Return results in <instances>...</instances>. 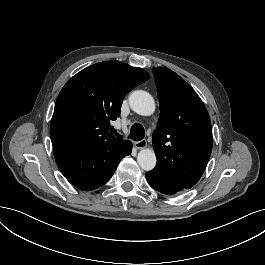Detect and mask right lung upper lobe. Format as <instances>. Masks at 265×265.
Masks as SVG:
<instances>
[{
	"instance_id": "obj_1",
	"label": "right lung upper lobe",
	"mask_w": 265,
	"mask_h": 265,
	"mask_svg": "<svg viewBox=\"0 0 265 265\" xmlns=\"http://www.w3.org/2000/svg\"><path fill=\"white\" fill-rule=\"evenodd\" d=\"M150 78L147 71L105 61L78 72L62 88L51 119L53 146L98 147L123 140L109 133L125 95Z\"/></svg>"
}]
</instances>
